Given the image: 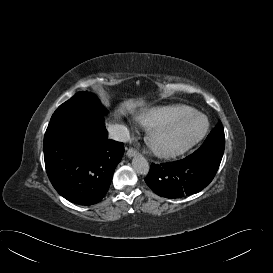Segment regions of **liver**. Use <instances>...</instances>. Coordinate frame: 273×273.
<instances>
[{"instance_id": "1", "label": "liver", "mask_w": 273, "mask_h": 273, "mask_svg": "<svg viewBox=\"0 0 273 273\" xmlns=\"http://www.w3.org/2000/svg\"><path fill=\"white\" fill-rule=\"evenodd\" d=\"M144 104L143 100H137V101H134L132 99L130 100H127V101H124L122 104H121V107L118 109V112L121 113V114H124L125 111H134V109L138 106H142Z\"/></svg>"}]
</instances>
